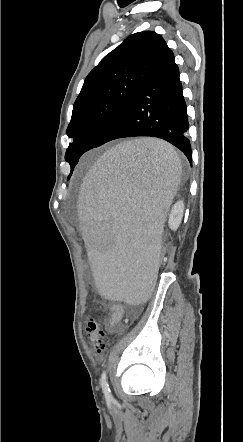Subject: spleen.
I'll return each mask as SVG.
<instances>
[{"label":"spleen","instance_id":"1","mask_svg":"<svg viewBox=\"0 0 243 442\" xmlns=\"http://www.w3.org/2000/svg\"><path fill=\"white\" fill-rule=\"evenodd\" d=\"M182 174L168 143L142 138L105 153L80 183L77 226L93 263L95 291L124 307L151 296L162 251L164 219ZM154 192V193H145Z\"/></svg>","mask_w":243,"mask_h":442}]
</instances>
